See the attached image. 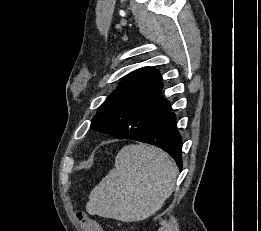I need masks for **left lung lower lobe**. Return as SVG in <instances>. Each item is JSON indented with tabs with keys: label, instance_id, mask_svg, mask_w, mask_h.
<instances>
[{
	"label": "left lung lower lobe",
	"instance_id": "left-lung-lower-lobe-1",
	"mask_svg": "<svg viewBox=\"0 0 261 231\" xmlns=\"http://www.w3.org/2000/svg\"><path fill=\"white\" fill-rule=\"evenodd\" d=\"M118 139H133L157 146L170 154L177 166L182 168L181 136L176 129V116L170 106L152 121L141 136Z\"/></svg>",
	"mask_w": 261,
	"mask_h": 231
}]
</instances>
